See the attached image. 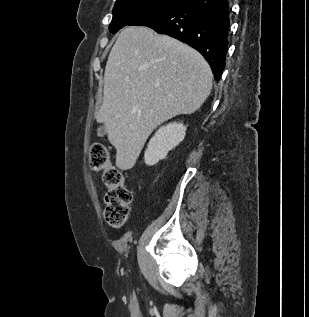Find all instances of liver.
<instances>
[{
  "instance_id": "liver-1",
  "label": "liver",
  "mask_w": 309,
  "mask_h": 317,
  "mask_svg": "<svg viewBox=\"0 0 309 317\" xmlns=\"http://www.w3.org/2000/svg\"><path fill=\"white\" fill-rule=\"evenodd\" d=\"M212 71L193 48L148 27L129 26L112 47L96 115L116 149V165L132 168L152 131L192 114L212 89Z\"/></svg>"
}]
</instances>
